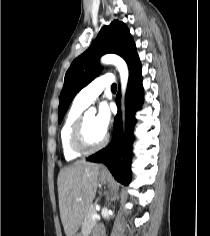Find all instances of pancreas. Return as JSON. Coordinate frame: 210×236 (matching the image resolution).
<instances>
[{
	"instance_id": "1",
	"label": "pancreas",
	"mask_w": 210,
	"mask_h": 236,
	"mask_svg": "<svg viewBox=\"0 0 210 236\" xmlns=\"http://www.w3.org/2000/svg\"><path fill=\"white\" fill-rule=\"evenodd\" d=\"M96 213L97 211L95 206L91 205L87 210L82 223V233L84 234V236L85 234L90 233V231L96 225V220L92 219V215Z\"/></svg>"
}]
</instances>
